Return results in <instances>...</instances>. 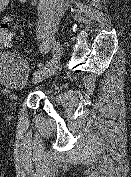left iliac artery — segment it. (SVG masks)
<instances>
[{
    "label": "left iliac artery",
    "mask_w": 131,
    "mask_h": 177,
    "mask_svg": "<svg viewBox=\"0 0 131 177\" xmlns=\"http://www.w3.org/2000/svg\"><path fill=\"white\" fill-rule=\"evenodd\" d=\"M54 63V60L53 59H48L46 62H45V65L42 66L41 68H39L38 70H36L34 72V75H37V74H40L41 72L45 71L47 69V66H52Z\"/></svg>",
    "instance_id": "left-iliac-artery-1"
}]
</instances>
